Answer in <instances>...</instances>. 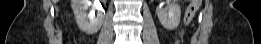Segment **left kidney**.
<instances>
[{
    "mask_svg": "<svg viewBox=\"0 0 261 44\" xmlns=\"http://www.w3.org/2000/svg\"><path fill=\"white\" fill-rule=\"evenodd\" d=\"M157 15L162 26L167 30H174L178 27L181 18V7L174 0L173 3L169 4L165 8H159Z\"/></svg>",
    "mask_w": 261,
    "mask_h": 44,
    "instance_id": "left-kidney-1",
    "label": "left kidney"
}]
</instances>
